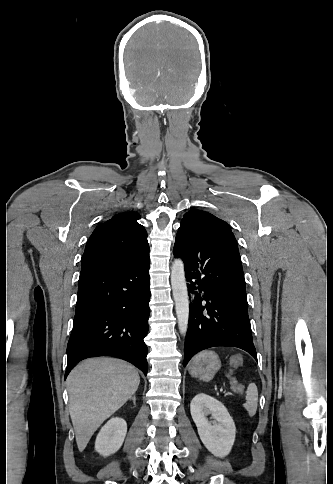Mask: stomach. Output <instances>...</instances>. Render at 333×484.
<instances>
[{"label": "stomach", "mask_w": 333, "mask_h": 484, "mask_svg": "<svg viewBox=\"0 0 333 484\" xmlns=\"http://www.w3.org/2000/svg\"><path fill=\"white\" fill-rule=\"evenodd\" d=\"M221 367L215 352L206 350L195 356L189 364V373L203 381H210Z\"/></svg>", "instance_id": "1"}]
</instances>
